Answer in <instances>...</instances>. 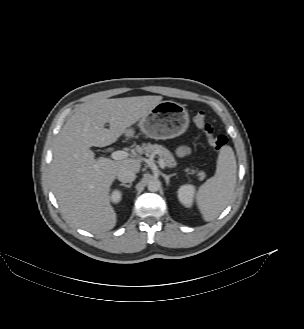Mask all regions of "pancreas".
<instances>
[{
	"label": "pancreas",
	"mask_w": 304,
	"mask_h": 329,
	"mask_svg": "<svg viewBox=\"0 0 304 329\" xmlns=\"http://www.w3.org/2000/svg\"><path fill=\"white\" fill-rule=\"evenodd\" d=\"M138 151L139 153H144L147 156L151 154H158L160 157H162V159L165 161L166 166H168L169 168H173L177 165V162L175 161L172 153L162 145L143 143L142 146L138 148ZM186 172L190 174L197 173L199 180H203L206 177L204 171L190 170L189 168H187Z\"/></svg>",
	"instance_id": "1"
}]
</instances>
